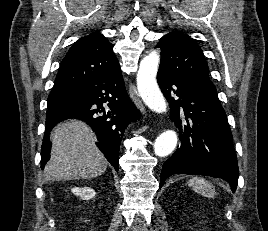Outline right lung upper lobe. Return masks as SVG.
<instances>
[{"instance_id":"1","label":"right lung upper lobe","mask_w":268,"mask_h":231,"mask_svg":"<svg viewBox=\"0 0 268 231\" xmlns=\"http://www.w3.org/2000/svg\"><path fill=\"white\" fill-rule=\"evenodd\" d=\"M118 63L113 45L100 33L77 40L62 60L53 89L80 88ZM55 106L50 105L48 107Z\"/></svg>"}]
</instances>
